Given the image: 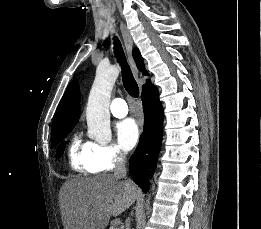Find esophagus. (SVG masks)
<instances>
[{
  "label": "esophagus",
  "instance_id": "obj_1",
  "mask_svg": "<svg viewBox=\"0 0 261 229\" xmlns=\"http://www.w3.org/2000/svg\"><path fill=\"white\" fill-rule=\"evenodd\" d=\"M120 30H121V34H122L124 44H125V47H126V50H127L128 59H129L130 65H131L133 75H134L135 79L138 80L139 73H138L136 63H135L133 56H132V49H133L132 37L130 35L129 30L126 28V26L124 25L123 22H120Z\"/></svg>",
  "mask_w": 261,
  "mask_h": 229
}]
</instances>
